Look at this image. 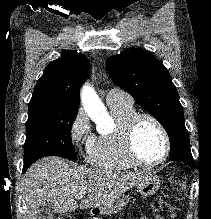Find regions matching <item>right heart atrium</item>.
<instances>
[{
    "label": "right heart atrium",
    "instance_id": "d8ad5b80",
    "mask_svg": "<svg viewBox=\"0 0 211 219\" xmlns=\"http://www.w3.org/2000/svg\"><path fill=\"white\" fill-rule=\"evenodd\" d=\"M94 136L87 116L78 111L69 127V140L77 148H86L91 145Z\"/></svg>",
    "mask_w": 211,
    "mask_h": 219
}]
</instances>
